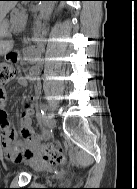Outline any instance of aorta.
Wrapping results in <instances>:
<instances>
[{"instance_id": "aorta-1", "label": "aorta", "mask_w": 137, "mask_h": 189, "mask_svg": "<svg viewBox=\"0 0 137 189\" xmlns=\"http://www.w3.org/2000/svg\"><path fill=\"white\" fill-rule=\"evenodd\" d=\"M39 7H40V18L46 19L52 7V1H41Z\"/></svg>"}]
</instances>
